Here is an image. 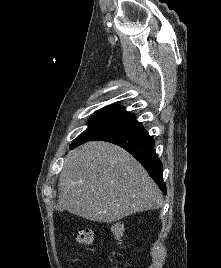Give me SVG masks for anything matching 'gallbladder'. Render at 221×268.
Masks as SVG:
<instances>
[{
	"label": "gallbladder",
	"instance_id": "bac80fb5",
	"mask_svg": "<svg viewBox=\"0 0 221 268\" xmlns=\"http://www.w3.org/2000/svg\"><path fill=\"white\" fill-rule=\"evenodd\" d=\"M55 210H63V205H55Z\"/></svg>",
	"mask_w": 221,
	"mask_h": 268
}]
</instances>
